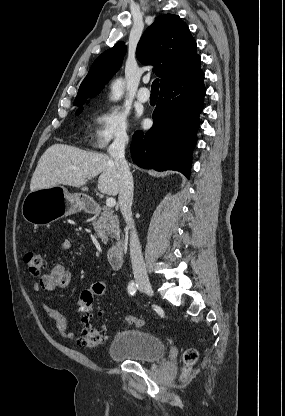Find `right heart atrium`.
Returning a JSON list of instances; mask_svg holds the SVG:
<instances>
[{
    "instance_id": "obj_1",
    "label": "right heart atrium",
    "mask_w": 285,
    "mask_h": 416,
    "mask_svg": "<svg viewBox=\"0 0 285 416\" xmlns=\"http://www.w3.org/2000/svg\"><path fill=\"white\" fill-rule=\"evenodd\" d=\"M127 138V120L124 113L110 106L98 110L92 117L88 142L97 150H104L112 143L124 142Z\"/></svg>"
}]
</instances>
